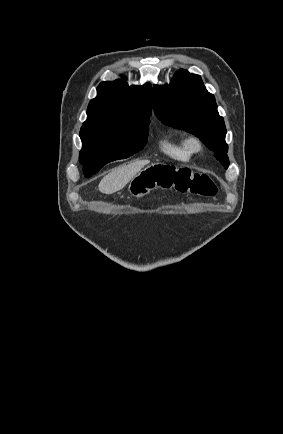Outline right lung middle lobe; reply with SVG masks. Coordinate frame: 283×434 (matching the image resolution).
I'll use <instances>...</instances> for the list:
<instances>
[{
    "label": "right lung middle lobe",
    "instance_id": "1",
    "mask_svg": "<svg viewBox=\"0 0 283 434\" xmlns=\"http://www.w3.org/2000/svg\"><path fill=\"white\" fill-rule=\"evenodd\" d=\"M150 122L108 128H81L83 148L80 161L86 177L100 170L105 164L126 159L142 150L147 142Z\"/></svg>",
    "mask_w": 283,
    "mask_h": 434
}]
</instances>
